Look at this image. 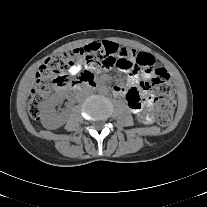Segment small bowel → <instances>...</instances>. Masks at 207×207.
Returning <instances> with one entry per match:
<instances>
[{
  "mask_svg": "<svg viewBox=\"0 0 207 207\" xmlns=\"http://www.w3.org/2000/svg\"><path fill=\"white\" fill-rule=\"evenodd\" d=\"M80 71L81 67L77 64L72 65L68 70L72 76L77 75ZM126 71H128L126 85L115 86L113 93L116 96L125 97L131 111L139 115L143 122L151 123L153 121V98L147 88L148 81L140 79L138 70ZM150 74L151 71H142L145 78Z\"/></svg>",
  "mask_w": 207,
  "mask_h": 207,
  "instance_id": "1",
  "label": "small bowel"
}]
</instances>
